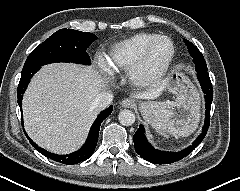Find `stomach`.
I'll use <instances>...</instances> for the list:
<instances>
[{
	"label": "stomach",
	"instance_id": "obj_1",
	"mask_svg": "<svg viewBox=\"0 0 240 191\" xmlns=\"http://www.w3.org/2000/svg\"><path fill=\"white\" fill-rule=\"evenodd\" d=\"M167 90L177 96L176 101H147L140 104L143 117L150 122L162 109H166L181 128L185 125L197 126L199 122L200 97L193 83L182 72L173 70L165 80Z\"/></svg>",
	"mask_w": 240,
	"mask_h": 191
}]
</instances>
